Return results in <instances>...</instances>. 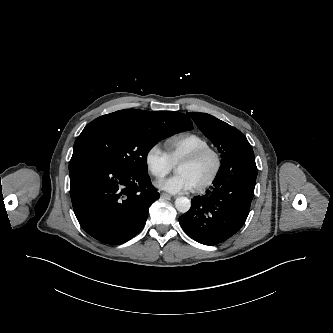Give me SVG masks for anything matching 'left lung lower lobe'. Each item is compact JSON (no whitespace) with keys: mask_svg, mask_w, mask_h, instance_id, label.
Listing matches in <instances>:
<instances>
[{"mask_svg":"<svg viewBox=\"0 0 333 333\" xmlns=\"http://www.w3.org/2000/svg\"><path fill=\"white\" fill-rule=\"evenodd\" d=\"M257 177L251 145L222 161L213 187L194 197L189 211L179 217L183 230L195 241L217 245L233 236L249 214Z\"/></svg>","mask_w":333,"mask_h":333,"instance_id":"left-lung-lower-lobe-1","label":"left lung lower lobe"}]
</instances>
